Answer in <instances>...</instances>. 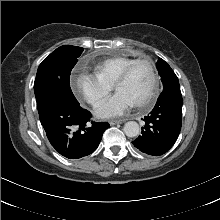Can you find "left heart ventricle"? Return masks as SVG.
Masks as SVG:
<instances>
[{
  "label": "left heart ventricle",
  "instance_id": "left-heart-ventricle-1",
  "mask_svg": "<svg viewBox=\"0 0 220 220\" xmlns=\"http://www.w3.org/2000/svg\"><path fill=\"white\" fill-rule=\"evenodd\" d=\"M150 86V70L146 64H139L133 69L130 77L119 85L116 90L126 94L136 104L146 98Z\"/></svg>",
  "mask_w": 220,
  "mask_h": 220
}]
</instances>
